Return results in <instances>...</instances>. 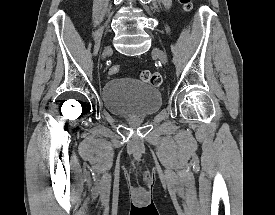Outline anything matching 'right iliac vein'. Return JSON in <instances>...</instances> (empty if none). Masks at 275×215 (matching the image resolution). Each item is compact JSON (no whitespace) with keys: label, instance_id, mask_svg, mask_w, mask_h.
Here are the masks:
<instances>
[{"label":"right iliac vein","instance_id":"obj_1","mask_svg":"<svg viewBox=\"0 0 275 215\" xmlns=\"http://www.w3.org/2000/svg\"><path fill=\"white\" fill-rule=\"evenodd\" d=\"M111 47L110 46H107L103 52V58L111 51Z\"/></svg>","mask_w":275,"mask_h":215}]
</instances>
